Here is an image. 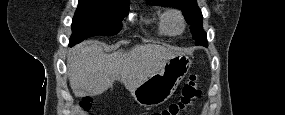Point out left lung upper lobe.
Here are the masks:
<instances>
[{"mask_svg":"<svg viewBox=\"0 0 285 115\" xmlns=\"http://www.w3.org/2000/svg\"><path fill=\"white\" fill-rule=\"evenodd\" d=\"M158 6L174 7L182 10L185 20L190 24L192 38L196 45L207 46L206 33L202 27L203 16L196 0H147Z\"/></svg>","mask_w":285,"mask_h":115,"instance_id":"1","label":"left lung upper lobe"}]
</instances>
